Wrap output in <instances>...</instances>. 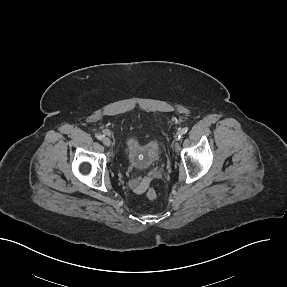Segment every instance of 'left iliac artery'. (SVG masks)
Returning a JSON list of instances; mask_svg holds the SVG:
<instances>
[{
  "label": "left iliac artery",
  "instance_id": "1",
  "mask_svg": "<svg viewBox=\"0 0 287 287\" xmlns=\"http://www.w3.org/2000/svg\"><path fill=\"white\" fill-rule=\"evenodd\" d=\"M188 131V128H183L178 132V138L182 137L184 134H186Z\"/></svg>",
  "mask_w": 287,
  "mask_h": 287
}]
</instances>
